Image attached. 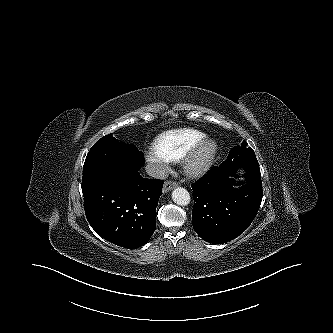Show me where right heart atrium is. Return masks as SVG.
<instances>
[{
  "mask_svg": "<svg viewBox=\"0 0 333 333\" xmlns=\"http://www.w3.org/2000/svg\"><path fill=\"white\" fill-rule=\"evenodd\" d=\"M146 159L148 162L155 164L160 173L167 171L169 168L170 161L157 154L154 150L146 154Z\"/></svg>",
  "mask_w": 333,
  "mask_h": 333,
  "instance_id": "right-heart-atrium-1",
  "label": "right heart atrium"
}]
</instances>
